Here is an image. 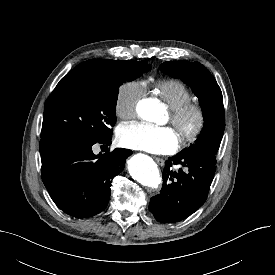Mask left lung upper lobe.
I'll list each match as a JSON object with an SVG mask.
<instances>
[{
  "mask_svg": "<svg viewBox=\"0 0 275 275\" xmlns=\"http://www.w3.org/2000/svg\"><path fill=\"white\" fill-rule=\"evenodd\" d=\"M162 72L182 79L199 98L205 123L197 141L180 154L211 152L216 154L224 133V106L220 87L211 73L199 62L168 61L161 64Z\"/></svg>",
  "mask_w": 275,
  "mask_h": 275,
  "instance_id": "5c2ea615",
  "label": "left lung upper lobe"
}]
</instances>
